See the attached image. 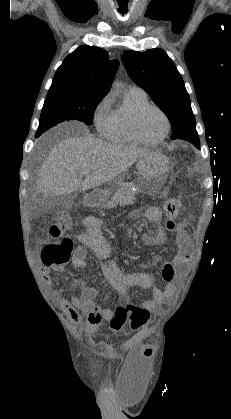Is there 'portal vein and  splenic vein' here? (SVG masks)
<instances>
[{
  "label": "portal vein and splenic vein",
  "mask_w": 231,
  "mask_h": 419,
  "mask_svg": "<svg viewBox=\"0 0 231 419\" xmlns=\"http://www.w3.org/2000/svg\"><path fill=\"white\" fill-rule=\"evenodd\" d=\"M90 173V171L89 170H83L81 173H80V177L81 176H84V175H88Z\"/></svg>",
  "instance_id": "portal-vein-and-splenic-vein-1"
}]
</instances>
